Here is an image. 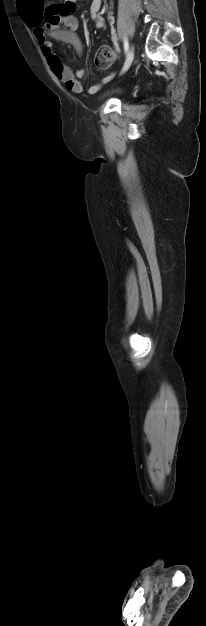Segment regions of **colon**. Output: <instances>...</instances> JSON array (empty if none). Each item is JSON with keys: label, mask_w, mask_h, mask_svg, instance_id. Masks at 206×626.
Wrapping results in <instances>:
<instances>
[{"label": "colon", "mask_w": 206, "mask_h": 626, "mask_svg": "<svg viewBox=\"0 0 206 626\" xmlns=\"http://www.w3.org/2000/svg\"><path fill=\"white\" fill-rule=\"evenodd\" d=\"M114 60V51L110 46H102L96 55V65L100 69H107L111 66Z\"/></svg>", "instance_id": "5ec220e1"}]
</instances>
